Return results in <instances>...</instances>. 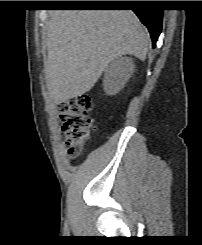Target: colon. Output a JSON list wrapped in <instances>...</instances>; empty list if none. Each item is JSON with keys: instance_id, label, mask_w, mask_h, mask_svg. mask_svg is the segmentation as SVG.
<instances>
[{"instance_id": "obj_1", "label": "colon", "mask_w": 202, "mask_h": 245, "mask_svg": "<svg viewBox=\"0 0 202 245\" xmlns=\"http://www.w3.org/2000/svg\"><path fill=\"white\" fill-rule=\"evenodd\" d=\"M91 109L92 100L86 95L77 96L58 105L57 112L70 158L77 157L88 141L92 129Z\"/></svg>"}]
</instances>
